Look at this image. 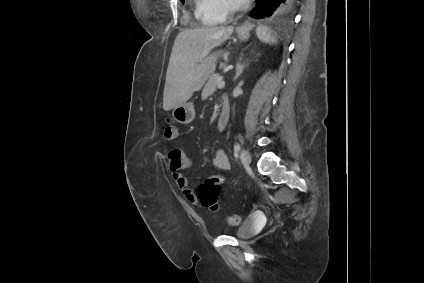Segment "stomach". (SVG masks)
Returning a JSON list of instances; mask_svg holds the SVG:
<instances>
[{
    "instance_id": "0dacf381",
    "label": "stomach",
    "mask_w": 424,
    "mask_h": 283,
    "mask_svg": "<svg viewBox=\"0 0 424 283\" xmlns=\"http://www.w3.org/2000/svg\"><path fill=\"white\" fill-rule=\"evenodd\" d=\"M238 38L242 41H245L249 38V31H238ZM172 115L174 119L180 124H189L195 118V109L192 102L184 103L176 108H174Z\"/></svg>"
}]
</instances>
